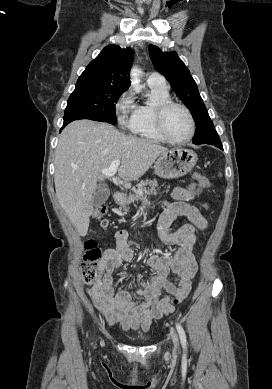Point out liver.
Instances as JSON below:
<instances>
[{
	"mask_svg": "<svg viewBox=\"0 0 272 389\" xmlns=\"http://www.w3.org/2000/svg\"><path fill=\"white\" fill-rule=\"evenodd\" d=\"M167 150L152 140L125 135L108 123L77 120L67 125L55 152L54 183L60 206L78 233L88 232L92 198L97 182L104 180L103 169L120 160L118 176L135 181Z\"/></svg>",
	"mask_w": 272,
	"mask_h": 389,
	"instance_id": "obj_1",
	"label": "liver"
}]
</instances>
